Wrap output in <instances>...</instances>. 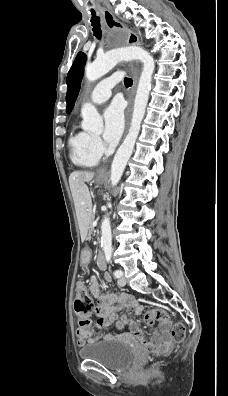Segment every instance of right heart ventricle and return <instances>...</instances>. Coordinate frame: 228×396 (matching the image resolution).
<instances>
[{"mask_svg":"<svg viewBox=\"0 0 228 396\" xmlns=\"http://www.w3.org/2000/svg\"><path fill=\"white\" fill-rule=\"evenodd\" d=\"M71 159L74 164L91 168L98 164L101 154L93 147V136L84 130H75L69 138Z\"/></svg>","mask_w":228,"mask_h":396,"instance_id":"1","label":"right heart ventricle"}]
</instances>
